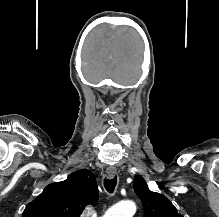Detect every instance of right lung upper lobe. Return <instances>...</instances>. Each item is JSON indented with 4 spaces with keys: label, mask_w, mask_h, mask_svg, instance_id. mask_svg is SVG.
Here are the masks:
<instances>
[{
    "label": "right lung upper lobe",
    "mask_w": 219,
    "mask_h": 217,
    "mask_svg": "<svg viewBox=\"0 0 219 217\" xmlns=\"http://www.w3.org/2000/svg\"><path fill=\"white\" fill-rule=\"evenodd\" d=\"M86 170L72 173L66 180L48 185L27 205L22 217H79L87 204L96 205L98 188Z\"/></svg>",
    "instance_id": "cb5924a9"
}]
</instances>
